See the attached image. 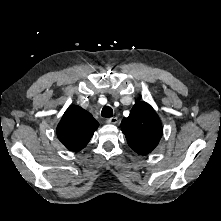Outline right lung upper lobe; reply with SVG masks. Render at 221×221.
I'll use <instances>...</instances> for the list:
<instances>
[{"label": "right lung upper lobe", "instance_id": "right-lung-upper-lobe-1", "mask_svg": "<svg viewBox=\"0 0 221 221\" xmlns=\"http://www.w3.org/2000/svg\"><path fill=\"white\" fill-rule=\"evenodd\" d=\"M98 126L88 111L71 105L57 126V136L67 149L78 152L88 144Z\"/></svg>", "mask_w": 221, "mask_h": 221}]
</instances>
